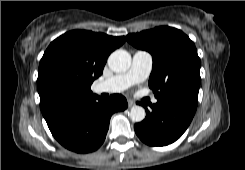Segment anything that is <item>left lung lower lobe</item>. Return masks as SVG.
Wrapping results in <instances>:
<instances>
[{
	"instance_id": "0a47b994",
	"label": "left lung lower lobe",
	"mask_w": 245,
	"mask_h": 170,
	"mask_svg": "<svg viewBox=\"0 0 245 170\" xmlns=\"http://www.w3.org/2000/svg\"><path fill=\"white\" fill-rule=\"evenodd\" d=\"M146 118L134 125L137 136L150 146H164L176 141L188 128L197 105L178 99H157L151 106L141 103Z\"/></svg>"
}]
</instances>
